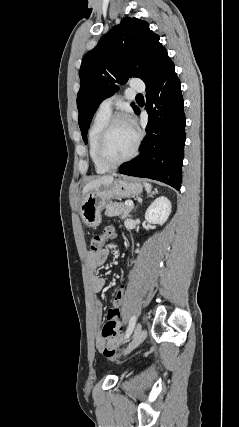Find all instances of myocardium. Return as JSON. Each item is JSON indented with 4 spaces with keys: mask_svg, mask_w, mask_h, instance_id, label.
<instances>
[{
    "mask_svg": "<svg viewBox=\"0 0 239 427\" xmlns=\"http://www.w3.org/2000/svg\"><path fill=\"white\" fill-rule=\"evenodd\" d=\"M119 122H127L128 124H130L132 126V128L135 131V143H134L133 149L131 150V152L126 157H124L123 159L118 160V161H111L105 156V146H106L107 139H108V136H109L112 128L114 127V125H116ZM140 142H141V134L139 133L138 130H136L133 127V125L131 124V122L129 121V119L126 116H124L122 114L112 115L107 120L106 124L104 125V127H103V129L99 135L98 142H97V149H96L97 158L101 164H103L104 166H106L109 169L119 167V166L129 162L130 160H132L137 155L138 149L140 146Z\"/></svg>",
    "mask_w": 239,
    "mask_h": 427,
    "instance_id": "1",
    "label": "myocardium"
}]
</instances>
